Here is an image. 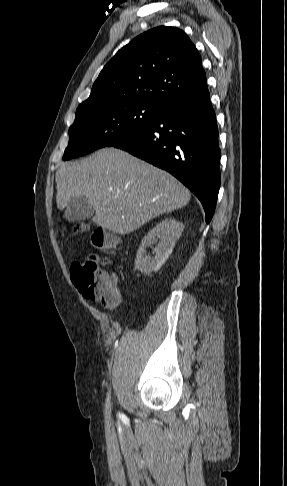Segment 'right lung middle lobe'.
Segmentation results:
<instances>
[{"label": "right lung middle lobe", "instance_id": "right-lung-middle-lobe-1", "mask_svg": "<svg viewBox=\"0 0 287 486\" xmlns=\"http://www.w3.org/2000/svg\"><path fill=\"white\" fill-rule=\"evenodd\" d=\"M162 111V105L146 100L106 102L77 111L63 160L124 143L145 130Z\"/></svg>", "mask_w": 287, "mask_h": 486}]
</instances>
